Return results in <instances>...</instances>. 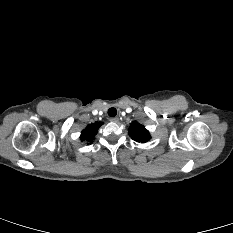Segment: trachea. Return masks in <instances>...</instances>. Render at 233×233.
Listing matches in <instances>:
<instances>
[{"label":"trachea","mask_w":233,"mask_h":233,"mask_svg":"<svg viewBox=\"0 0 233 233\" xmlns=\"http://www.w3.org/2000/svg\"><path fill=\"white\" fill-rule=\"evenodd\" d=\"M116 114H117V110H116L115 108H110V109L108 110V115H109L110 117H115Z\"/></svg>","instance_id":"trachea-1"}]
</instances>
